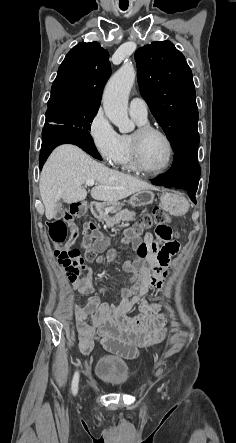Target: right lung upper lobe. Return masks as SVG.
Returning <instances> with one entry per match:
<instances>
[{"instance_id":"obj_1","label":"right lung upper lobe","mask_w":236,"mask_h":443,"mask_svg":"<svg viewBox=\"0 0 236 443\" xmlns=\"http://www.w3.org/2000/svg\"><path fill=\"white\" fill-rule=\"evenodd\" d=\"M110 75L108 51L98 42H81L68 52L60 65L48 104L69 101L99 108Z\"/></svg>"}]
</instances>
